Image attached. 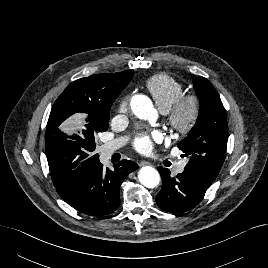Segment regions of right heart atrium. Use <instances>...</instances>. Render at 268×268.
<instances>
[{
  "mask_svg": "<svg viewBox=\"0 0 268 268\" xmlns=\"http://www.w3.org/2000/svg\"><path fill=\"white\" fill-rule=\"evenodd\" d=\"M128 109V97L125 96L119 101L118 111L120 113H126Z\"/></svg>",
  "mask_w": 268,
  "mask_h": 268,
  "instance_id": "right-heart-atrium-1",
  "label": "right heart atrium"
}]
</instances>
